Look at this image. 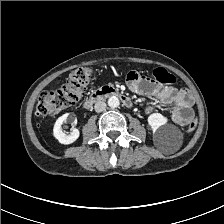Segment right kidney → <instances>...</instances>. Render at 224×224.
Returning a JSON list of instances; mask_svg holds the SVG:
<instances>
[{
  "instance_id": "right-kidney-1",
  "label": "right kidney",
  "mask_w": 224,
  "mask_h": 224,
  "mask_svg": "<svg viewBox=\"0 0 224 224\" xmlns=\"http://www.w3.org/2000/svg\"><path fill=\"white\" fill-rule=\"evenodd\" d=\"M66 121L70 122L71 124H76L77 118L74 113H65L56 120L54 128H53L54 137L61 144H65V145L75 142L80 135L79 130L76 128H74L69 135L65 134L62 131L61 126L63 122H66Z\"/></svg>"
}]
</instances>
